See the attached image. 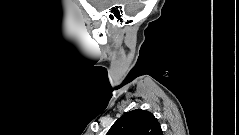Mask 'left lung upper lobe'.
I'll return each instance as SVG.
<instances>
[{
	"label": "left lung upper lobe",
	"instance_id": "1",
	"mask_svg": "<svg viewBox=\"0 0 239 135\" xmlns=\"http://www.w3.org/2000/svg\"><path fill=\"white\" fill-rule=\"evenodd\" d=\"M107 135H162V129L152 113L136 109L121 116Z\"/></svg>",
	"mask_w": 239,
	"mask_h": 135
}]
</instances>
